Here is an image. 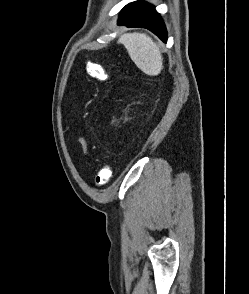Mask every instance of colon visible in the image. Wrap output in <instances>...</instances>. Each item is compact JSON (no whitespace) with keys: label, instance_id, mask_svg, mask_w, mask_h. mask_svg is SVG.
I'll list each match as a JSON object with an SVG mask.
<instances>
[{"label":"colon","instance_id":"obj_1","mask_svg":"<svg viewBox=\"0 0 249 294\" xmlns=\"http://www.w3.org/2000/svg\"><path fill=\"white\" fill-rule=\"evenodd\" d=\"M87 73L89 76L96 78L98 80L105 81L108 79V74L105 69L97 64H89L87 66ZM112 176V167L110 165L103 166L97 173L95 178V183L97 186L105 185L109 182Z\"/></svg>","mask_w":249,"mask_h":294}]
</instances>
